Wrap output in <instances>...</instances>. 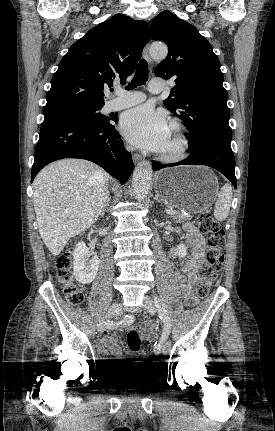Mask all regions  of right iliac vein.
<instances>
[{
	"label": "right iliac vein",
	"instance_id": "1",
	"mask_svg": "<svg viewBox=\"0 0 275 431\" xmlns=\"http://www.w3.org/2000/svg\"><path fill=\"white\" fill-rule=\"evenodd\" d=\"M121 311H122V306H121L120 303L113 304L109 308V310H108L107 315L105 316V318H103V319H101L99 321V323L97 325V331L98 332H102L104 330V328H105V322H106L105 319L117 316L118 314L121 313Z\"/></svg>",
	"mask_w": 275,
	"mask_h": 431
}]
</instances>
